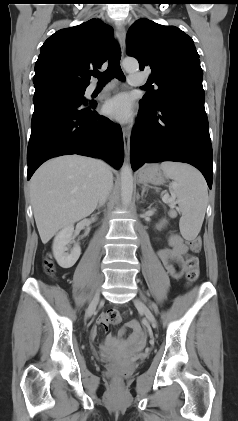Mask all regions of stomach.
I'll return each mask as SVG.
<instances>
[{
    "label": "stomach",
    "instance_id": "stomach-1",
    "mask_svg": "<svg viewBox=\"0 0 238 421\" xmlns=\"http://www.w3.org/2000/svg\"><path fill=\"white\" fill-rule=\"evenodd\" d=\"M139 180L153 185H161L165 182L166 175L159 164H148L138 173Z\"/></svg>",
    "mask_w": 238,
    "mask_h": 421
}]
</instances>
